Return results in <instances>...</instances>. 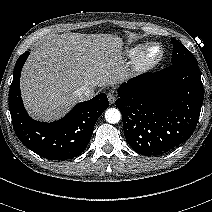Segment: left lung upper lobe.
I'll list each match as a JSON object with an SVG mask.
<instances>
[{"label":"left lung upper lobe","mask_w":212,"mask_h":212,"mask_svg":"<svg viewBox=\"0 0 212 212\" xmlns=\"http://www.w3.org/2000/svg\"><path fill=\"white\" fill-rule=\"evenodd\" d=\"M173 44L172 65L183 63H198L193 54L179 41L171 38Z\"/></svg>","instance_id":"obj_1"}]
</instances>
